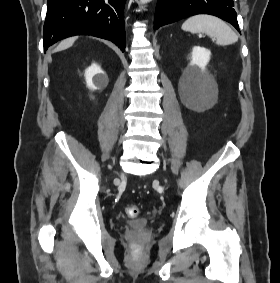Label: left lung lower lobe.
Returning <instances> with one entry per match:
<instances>
[{
    "instance_id": "0a47b994",
    "label": "left lung lower lobe",
    "mask_w": 280,
    "mask_h": 283,
    "mask_svg": "<svg viewBox=\"0 0 280 283\" xmlns=\"http://www.w3.org/2000/svg\"><path fill=\"white\" fill-rule=\"evenodd\" d=\"M196 14L217 16L240 32L233 0H158L154 29Z\"/></svg>"
}]
</instances>
